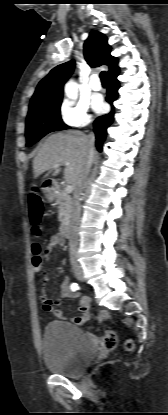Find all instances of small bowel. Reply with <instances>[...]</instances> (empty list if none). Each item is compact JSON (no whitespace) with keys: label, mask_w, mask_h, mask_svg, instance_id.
Masks as SVG:
<instances>
[{"label":"small bowel","mask_w":168,"mask_h":415,"mask_svg":"<svg viewBox=\"0 0 168 415\" xmlns=\"http://www.w3.org/2000/svg\"><path fill=\"white\" fill-rule=\"evenodd\" d=\"M64 239L61 235H52L48 244L46 245L44 252L50 254L54 249L62 246ZM68 278L66 276L62 279L61 284V298L51 300L47 298L45 291L41 293L42 308L44 311L51 312L56 318L65 320L66 316L63 311L55 309L56 305H59L64 298H76L79 294L71 290ZM80 314L71 318V322L75 325H82L89 319V303L86 297H81L78 306Z\"/></svg>","instance_id":"small-bowel-1"}]
</instances>
